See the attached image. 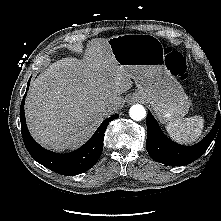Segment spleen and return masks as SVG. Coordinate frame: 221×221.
<instances>
[{
    "instance_id": "1",
    "label": "spleen",
    "mask_w": 221,
    "mask_h": 221,
    "mask_svg": "<svg viewBox=\"0 0 221 221\" xmlns=\"http://www.w3.org/2000/svg\"><path fill=\"white\" fill-rule=\"evenodd\" d=\"M204 119L201 116L179 119L166 125L169 136L182 144H190L202 135Z\"/></svg>"
}]
</instances>
